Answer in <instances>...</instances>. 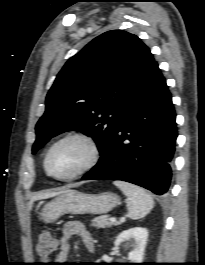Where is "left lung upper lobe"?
Wrapping results in <instances>:
<instances>
[{
    "mask_svg": "<svg viewBox=\"0 0 205 265\" xmlns=\"http://www.w3.org/2000/svg\"><path fill=\"white\" fill-rule=\"evenodd\" d=\"M156 64L134 34L111 30L93 39L57 75L35 128L32 153L50 138L76 130L92 137L102 154L121 113Z\"/></svg>",
    "mask_w": 205,
    "mask_h": 265,
    "instance_id": "obj_1",
    "label": "left lung upper lobe"
}]
</instances>
